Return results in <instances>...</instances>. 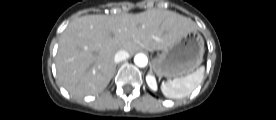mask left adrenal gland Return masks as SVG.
Instances as JSON below:
<instances>
[{
	"mask_svg": "<svg viewBox=\"0 0 276 120\" xmlns=\"http://www.w3.org/2000/svg\"><path fill=\"white\" fill-rule=\"evenodd\" d=\"M150 73H152V69H150Z\"/></svg>",
	"mask_w": 276,
	"mask_h": 120,
	"instance_id": "left-adrenal-gland-1",
	"label": "left adrenal gland"
}]
</instances>
